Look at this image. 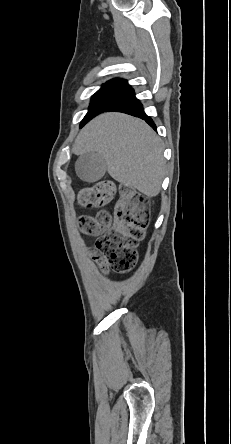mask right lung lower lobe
Returning <instances> with one entry per match:
<instances>
[{
  "instance_id": "1",
  "label": "right lung lower lobe",
  "mask_w": 231,
  "mask_h": 444,
  "mask_svg": "<svg viewBox=\"0 0 231 444\" xmlns=\"http://www.w3.org/2000/svg\"><path fill=\"white\" fill-rule=\"evenodd\" d=\"M106 111H117L124 112L145 120L151 127L156 128L151 118L144 113L143 106L140 101L135 97L134 92L128 94L119 102H117L112 107L108 108Z\"/></svg>"
}]
</instances>
